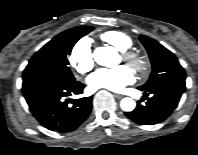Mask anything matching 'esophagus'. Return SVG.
<instances>
[{"instance_id": "34e87169", "label": "esophagus", "mask_w": 198, "mask_h": 155, "mask_svg": "<svg viewBox=\"0 0 198 155\" xmlns=\"http://www.w3.org/2000/svg\"><path fill=\"white\" fill-rule=\"evenodd\" d=\"M115 97H116L117 99H122L124 96L121 95V94H115Z\"/></svg>"}]
</instances>
